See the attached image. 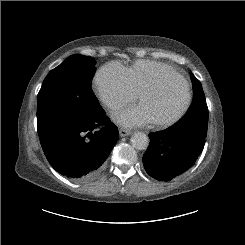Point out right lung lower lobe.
<instances>
[{
	"label": "right lung lower lobe",
	"instance_id": "right-lung-lower-lobe-1",
	"mask_svg": "<svg viewBox=\"0 0 245 245\" xmlns=\"http://www.w3.org/2000/svg\"><path fill=\"white\" fill-rule=\"evenodd\" d=\"M39 138L55 170L70 179L87 181L104 168L119 132L101 110L90 118L60 123L39 133Z\"/></svg>",
	"mask_w": 245,
	"mask_h": 245
}]
</instances>
